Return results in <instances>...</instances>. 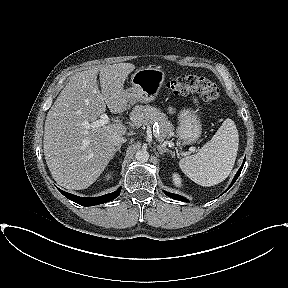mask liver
<instances>
[{"label":"liver","mask_w":288,"mask_h":288,"mask_svg":"<svg viewBox=\"0 0 288 288\" xmlns=\"http://www.w3.org/2000/svg\"><path fill=\"white\" fill-rule=\"evenodd\" d=\"M134 69L131 63L92 67L72 76L60 92L46 117L43 144L47 166L60 186L88 188L113 159V138L125 135L126 127L118 122L97 128L91 124L106 106L114 114L127 110L124 82Z\"/></svg>","instance_id":"6515ba94"}]
</instances>
